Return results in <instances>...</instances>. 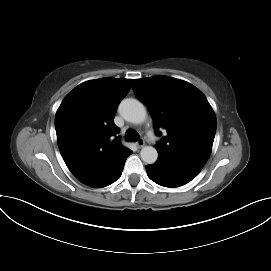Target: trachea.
<instances>
[{"mask_svg":"<svg viewBox=\"0 0 271 271\" xmlns=\"http://www.w3.org/2000/svg\"><path fill=\"white\" fill-rule=\"evenodd\" d=\"M125 138L128 142H136L139 139V134L135 130L129 129L125 133Z\"/></svg>","mask_w":271,"mask_h":271,"instance_id":"3493384b","label":"trachea"}]
</instances>
